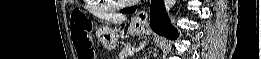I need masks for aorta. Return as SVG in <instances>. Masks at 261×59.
Masks as SVG:
<instances>
[{"label":"aorta","instance_id":"762f6f07","mask_svg":"<svg viewBox=\"0 0 261 59\" xmlns=\"http://www.w3.org/2000/svg\"><path fill=\"white\" fill-rule=\"evenodd\" d=\"M176 2V0H165L166 11L169 12L175 6Z\"/></svg>","mask_w":261,"mask_h":59}]
</instances>
